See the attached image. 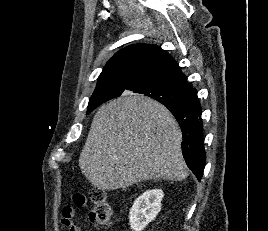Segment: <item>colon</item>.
Wrapping results in <instances>:
<instances>
[{"mask_svg":"<svg viewBox=\"0 0 268 231\" xmlns=\"http://www.w3.org/2000/svg\"><path fill=\"white\" fill-rule=\"evenodd\" d=\"M90 199L93 203L89 214L90 220L97 226H108L111 222L112 207L107 194L102 189L92 188Z\"/></svg>","mask_w":268,"mask_h":231,"instance_id":"1","label":"colon"}]
</instances>
